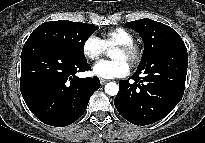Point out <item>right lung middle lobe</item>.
<instances>
[{
  "label": "right lung middle lobe",
  "instance_id": "dd1d6c3e",
  "mask_svg": "<svg viewBox=\"0 0 205 143\" xmlns=\"http://www.w3.org/2000/svg\"><path fill=\"white\" fill-rule=\"evenodd\" d=\"M97 29L98 27L92 24L59 20L41 24L29 38L36 37L49 41L70 55L86 60L83 51L84 43Z\"/></svg>",
  "mask_w": 205,
  "mask_h": 143
}]
</instances>
